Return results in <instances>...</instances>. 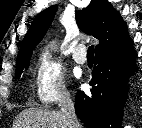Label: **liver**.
Masks as SVG:
<instances>
[{
	"label": "liver",
	"instance_id": "obj_1",
	"mask_svg": "<svg viewBox=\"0 0 142 128\" xmlns=\"http://www.w3.org/2000/svg\"><path fill=\"white\" fill-rule=\"evenodd\" d=\"M13 128H68V124L61 111L30 108L19 113Z\"/></svg>",
	"mask_w": 142,
	"mask_h": 128
}]
</instances>
